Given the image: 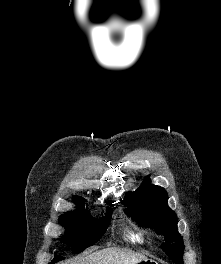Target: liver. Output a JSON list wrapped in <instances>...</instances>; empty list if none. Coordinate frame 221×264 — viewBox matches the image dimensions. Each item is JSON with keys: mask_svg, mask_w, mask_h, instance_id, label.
<instances>
[{"mask_svg": "<svg viewBox=\"0 0 221 264\" xmlns=\"http://www.w3.org/2000/svg\"><path fill=\"white\" fill-rule=\"evenodd\" d=\"M144 259H147L145 255L134 251L120 248H107L64 264H137Z\"/></svg>", "mask_w": 221, "mask_h": 264, "instance_id": "6515ba94", "label": "liver"}]
</instances>
